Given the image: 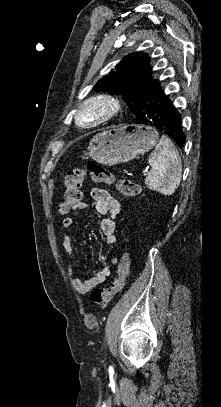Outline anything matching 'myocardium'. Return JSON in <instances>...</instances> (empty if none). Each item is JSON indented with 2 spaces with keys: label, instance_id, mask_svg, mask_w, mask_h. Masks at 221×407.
Returning <instances> with one entry per match:
<instances>
[{
  "label": "myocardium",
  "instance_id": "1",
  "mask_svg": "<svg viewBox=\"0 0 221 407\" xmlns=\"http://www.w3.org/2000/svg\"><path fill=\"white\" fill-rule=\"evenodd\" d=\"M120 99L112 93H99L85 98L75 109L74 123L93 128L110 120L120 109Z\"/></svg>",
  "mask_w": 221,
  "mask_h": 407
}]
</instances>
